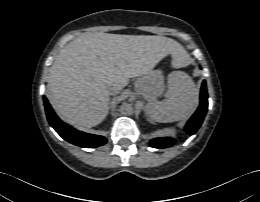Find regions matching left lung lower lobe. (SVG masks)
Segmentation results:
<instances>
[{"label":"left lung lower lobe","mask_w":260,"mask_h":202,"mask_svg":"<svg viewBox=\"0 0 260 202\" xmlns=\"http://www.w3.org/2000/svg\"><path fill=\"white\" fill-rule=\"evenodd\" d=\"M200 100L201 101L199 108L185 126L186 132L190 135L195 134L196 131L199 129L208 109V94L205 81H203L202 83ZM174 144L175 140L172 138H155L150 141L151 147L158 149L171 147Z\"/></svg>","instance_id":"0a47b994"}]
</instances>
